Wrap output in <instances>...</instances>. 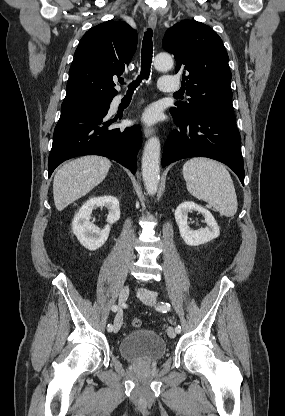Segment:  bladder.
<instances>
[{"label":"bladder","mask_w":285,"mask_h":416,"mask_svg":"<svg viewBox=\"0 0 285 416\" xmlns=\"http://www.w3.org/2000/svg\"><path fill=\"white\" fill-rule=\"evenodd\" d=\"M118 352L122 360L155 363L159 358L166 356L167 345L163 337L156 334L154 329L131 330L118 343Z\"/></svg>","instance_id":"bladder-1"}]
</instances>
